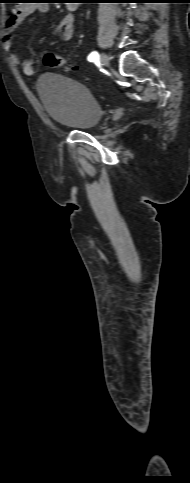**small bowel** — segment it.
Listing matches in <instances>:
<instances>
[{"label":"small bowel","mask_w":190,"mask_h":483,"mask_svg":"<svg viewBox=\"0 0 190 483\" xmlns=\"http://www.w3.org/2000/svg\"><path fill=\"white\" fill-rule=\"evenodd\" d=\"M74 7H70L69 13L57 24L54 33L59 35L63 41H70L74 36ZM48 11L46 5L35 6L33 4H23L14 8L7 17L6 29L3 34V46L7 53L8 59L15 65L21 67L26 75L33 73V66L31 60H21L17 52L12 50L13 37L17 27L29 16L32 20L43 16Z\"/></svg>","instance_id":"c3829d8e"}]
</instances>
